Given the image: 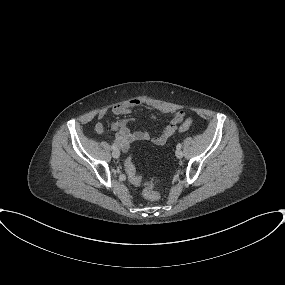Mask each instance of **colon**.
Instances as JSON below:
<instances>
[{
    "label": "colon",
    "mask_w": 285,
    "mask_h": 285,
    "mask_svg": "<svg viewBox=\"0 0 285 285\" xmlns=\"http://www.w3.org/2000/svg\"><path fill=\"white\" fill-rule=\"evenodd\" d=\"M181 118V114L177 116V119ZM193 124L192 119H186L181 122L180 130L184 131L189 129ZM125 171L128 175L129 180L136 185H144V196L151 201H157L160 199V195L154 190L151 183L144 184L141 176L137 173L136 167L131 157H128L124 162Z\"/></svg>",
    "instance_id": "colon-1"
}]
</instances>
